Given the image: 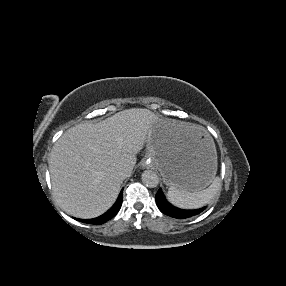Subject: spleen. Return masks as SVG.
Returning a JSON list of instances; mask_svg holds the SVG:
<instances>
[{"label": "spleen", "instance_id": "3e777b00", "mask_svg": "<svg viewBox=\"0 0 286 286\" xmlns=\"http://www.w3.org/2000/svg\"><path fill=\"white\" fill-rule=\"evenodd\" d=\"M220 179L214 178L212 184L203 190L190 192L170 186L167 193L168 201L182 209H196L207 204L218 192Z\"/></svg>", "mask_w": 286, "mask_h": 286}]
</instances>
